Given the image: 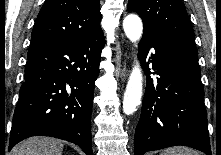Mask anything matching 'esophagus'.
<instances>
[{"mask_svg": "<svg viewBox=\"0 0 221 155\" xmlns=\"http://www.w3.org/2000/svg\"><path fill=\"white\" fill-rule=\"evenodd\" d=\"M120 77L122 80L126 77V67H123L120 71Z\"/></svg>", "mask_w": 221, "mask_h": 155, "instance_id": "esophagus-1", "label": "esophagus"}]
</instances>
